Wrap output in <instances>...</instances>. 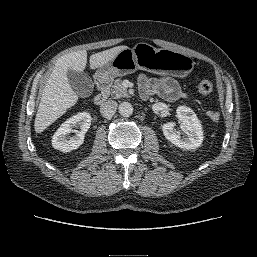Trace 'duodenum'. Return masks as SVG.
Segmentation results:
<instances>
[{
    "mask_svg": "<svg viewBox=\"0 0 257 257\" xmlns=\"http://www.w3.org/2000/svg\"><path fill=\"white\" fill-rule=\"evenodd\" d=\"M109 84V78H101L97 80V87L99 91L94 97L95 104L101 105L107 100Z\"/></svg>",
    "mask_w": 257,
    "mask_h": 257,
    "instance_id": "1",
    "label": "duodenum"
}]
</instances>
